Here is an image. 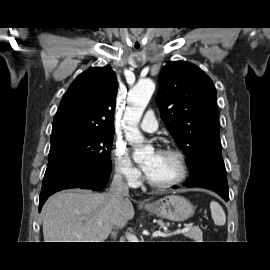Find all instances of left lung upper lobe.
<instances>
[{
  "instance_id": "1",
  "label": "left lung upper lobe",
  "mask_w": 270,
  "mask_h": 270,
  "mask_svg": "<svg viewBox=\"0 0 270 270\" xmlns=\"http://www.w3.org/2000/svg\"><path fill=\"white\" fill-rule=\"evenodd\" d=\"M158 80L160 116L188 157L190 178L210 164H224L217 93L211 79L196 65L176 61L162 68Z\"/></svg>"
}]
</instances>
